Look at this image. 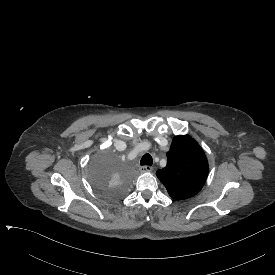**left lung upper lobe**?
<instances>
[{
    "mask_svg": "<svg viewBox=\"0 0 275 275\" xmlns=\"http://www.w3.org/2000/svg\"><path fill=\"white\" fill-rule=\"evenodd\" d=\"M208 161L199 144L189 135L173 138L167 165L156 172L169 195L184 200L196 195L206 181Z\"/></svg>",
    "mask_w": 275,
    "mask_h": 275,
    "instance_id": "5c2ea615",
    "label": "left lung upper lobe"
}]
</instances>
